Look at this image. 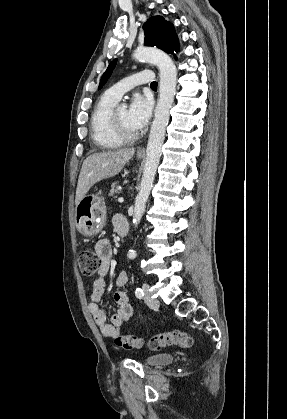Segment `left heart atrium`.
Here are the masks:
<instances>
[{"label": "left heart atrium", "instance_id": "39dd6f15", "mask_svg": "<svg viewBox=\"0 0 287 419\" xmlns=\"http://www.w3.org/2000/svg\"><path fill=\"white\" fill-rule=\"evenodd\" d=\"M152 112V100L141 94L133 96L129 109L128 119L131 127L136 130H142L148 123Z\"/></svg>", "mask_w": 287, "mask_h": 419}]
</instances>
